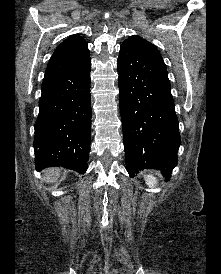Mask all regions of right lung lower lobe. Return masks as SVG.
Wrapping results in <instances>:
<instances>
[{"instance_id":"obj_1","label":"right lung lower lobe","mask_w":221,"mask_h":274,"mask_svg":"<svg viewBox=\"0 0 221 274\" xmlns=\"http://www.w3.org/2000/svg\"><path fill=\"white\" fill-rule=\"evenodd\" d=\"M91 60L44 79L35 123V167L61 166L84 174L90 148Z\"/></svg>"}]
</instances>
